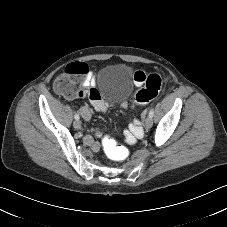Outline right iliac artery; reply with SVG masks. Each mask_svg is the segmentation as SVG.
<instances>
[{"mask_svg": "<svg viewBox=\"0 0 227 227\" xmlns=\"http://www.w3.org/2000/svg\"><path fill=\"white\" fill-rule=\"evenodd\" d=\"M74 118H75L76 120H79V119H80V117H79L78 114H75Z\"/></svg>", "mask_w": 227, "mask_h": 227, "instance_id": "82829eb1", "label": "right iliac artery"}]
</instances>
